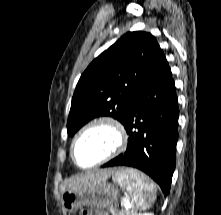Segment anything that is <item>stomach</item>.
<instances>
[{"label":"stomach","instance_id":"0dacf381","mask_svg":"<svg viewBox=\"0 0 221 215\" xmlns=\"http://www.w3.org/2000/svg\"><path fill=\"white\" fill-rule=\"evenodd\" d=\"M120 189L118 184L97 183L84 189H66L61 196L62 206L66 212L73 213L84 206L112 209L118 201Z\"/></svg>","mask_w":221,"mask_h":215}]
</instances>
